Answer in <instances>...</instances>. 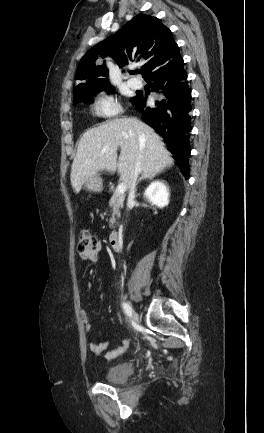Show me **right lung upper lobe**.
I'll return each mask as SVG.
<instances>
[{"mask_svg": "<svg viewBox=\"0 0 264 433\" xmlns=\"http://www.w3.org/2000/svg\"><path fill=\"white\" fill-rule=\"evenodd\" d=\"M177 55L179 50L171 31L158 18L135 16L116 34L98 43L82 57L76 72V79L81 83L74 87V101L112 88L105 64L95 63L98 57L110 56L119 67L133 61H143L140 73L144 77Z\"/></svg>", "mask_w": 264, "mask_h": 433, "instance_id": "cb5924a9", "label": "right lung upper lobe"}]
</instances>
